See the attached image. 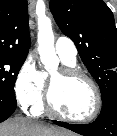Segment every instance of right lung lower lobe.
<instances>
[{"label": "right lung lower lobe", "instance_id": "98d812e1", "mask_svg": "<svg viewBox=\"0 0 117 136\" xmlns=\"http://www.w3.org/2000/svg\"><path fill=\"white\" fill-rule=\"evenodd\" d=\"M17 101L15 96L0 93V122L5 121L15 111Z\"/></svg>", "mask_w": 117, "mask_h": 136}]
</instances>
